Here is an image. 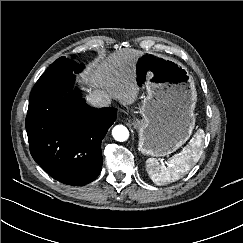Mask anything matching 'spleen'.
<instances>
[{
	"label": "spleen",
	"mask_w": 243,
	"mask_h": 243,
	"mask_svg": "<svg viewBox=\"0 0 243 243\" xmlns=\"http://www.w3.org/2000/svg\"><path fill=\"white\" fill-rule=\"evenodd\" d=\"M203 138L204 131L199 129L188 145L168 160L167 166L159 164L155 158H149L146 161V169L152 181L163 185L179 180L200 159Z\"/></svg>",
	"instance_id": "spleen-1"
}]
</instances>
